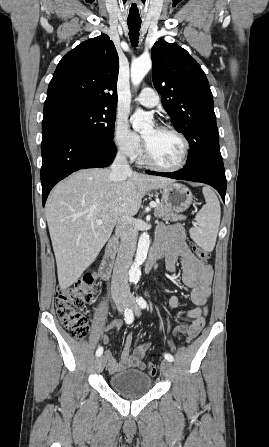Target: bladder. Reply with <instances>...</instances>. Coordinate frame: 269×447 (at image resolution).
<instances>
[{"mask_svg":"<svg viewBox=\"0 0 269 447\" xmlns=\"http://www.w3.org/2000/svg\"><path fill=\"white\" fill-rule=\"evenodd\" d=\"M112 391L124 397L141 398L153 387V377L148 372L139 370H122L110 376Z\"/></svg>","mask_w":269,"mask_h":447,"instance_id":"1","label":"bladder"}]
</instances>
